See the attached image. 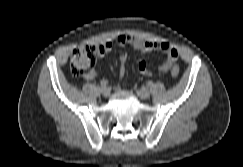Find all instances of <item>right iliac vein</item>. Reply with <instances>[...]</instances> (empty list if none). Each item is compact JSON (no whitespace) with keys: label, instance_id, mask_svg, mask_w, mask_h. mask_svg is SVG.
<instances>
[{"label":"right iliac vein","instance_id":"63e3f726","mask_svg":"<svg viewBox=\"0 0 243 167\" xmlns=\"http://www.w3.org/2000/svg\"><path fill=\"white\" fill-rule=\"evenodd\" d=\"M101 93L104 97H108L110 95V89L108 87H101Z\"/></svg>","mask_w":243,"mask_h":167}]
</instances>
